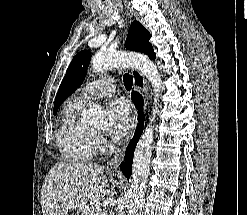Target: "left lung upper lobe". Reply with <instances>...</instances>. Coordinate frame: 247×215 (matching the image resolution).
<instances>
[{
  "label": "left lung upper lobe",
  "mask_w": 247,
  "mask_h": 215,
  "mask_svg": "<svg viewBox=\"0 0 247 215\" xmlns=\"http://www.w3.org/2000/svg\"><path fill=\"white\" fill-rule=\"evenodd\" d=\"M149 39L150 33L139 22L134 21L129 28L125 47L129 50L145 53L150 57L154 50ZM90 60V51H81L71 61L55 98L54 115L64 100L83 83Z\"/></svg>",
  "instance_id": "5c2ea615"
}]
</instances>
